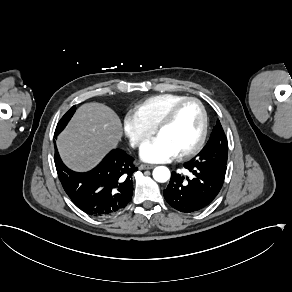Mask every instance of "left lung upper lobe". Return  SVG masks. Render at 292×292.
<instances>
[{
    "label": "left lung upper lobe",
    "mask_w": 292,
    "mask_h": 292,
    "mask_svg": "<svg viewBox=\"0 0 292 292\" xmlns=\"http://www.w3.org/2000/svg\"><path fill=\"white\" fill-rule=\"evenodd\" d=\"M227 156L228 143L226 135L220 121L217 120L207 144L193 159L201 161L205 166L226 167Z\"/></svg>",
    "instance_id": "1"
}]
</instances>
